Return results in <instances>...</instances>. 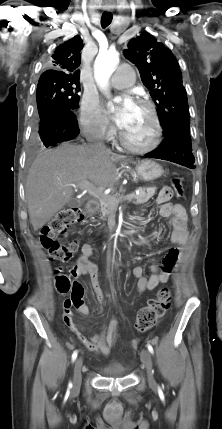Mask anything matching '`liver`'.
Returning a JSON list of instances; mask_svg holds the SVG:
<instances>
[{"instance_id": "liver-1", "label": "liver", "mask_w": 222, "mask_h": 429, "mask_svg": "<svg viewBox=\"0 0 222 429\" xmlns=\"http://www.w3.org/2000/svg\"><path fill=\"white\" fill-rule=\"evenodd\" d=\"M124 159L107 149L69 144L42 151L29 170L25 189L33 229L42 228L72 199L70 184L89 181L102 189L114 186L116 163Z\"/></svg>"}]
</instances>
